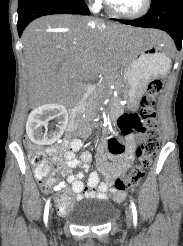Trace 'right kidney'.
<instances>
[{"label":"right kidney","mask_w":183,"mask_h":246,"mask_svg":"<svg viewBox=\"0 0 183 246\" xmlns=\"http://www.w3.org/2000/svg\"><path fill=\"white\" fill-rule=\"evenodd\" d=\"M56 119V130L43 132L50 120ZM68 122L67 110L60 104H46L34 109L27 120L26 132L30 140L37 145L54 143L63 134Z\"/></svg>","instance_id":"right-kidney-1"}]
</instances>
